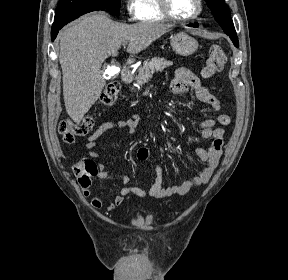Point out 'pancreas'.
I'll list each match as a JSON object with an SVG mask.
<instances>
[{"label":"pancreas","mask_w":288,"mask_h":280,"mask_svg":"<svg viewBox=\"0 0 288 280\" xmlns=\"http://www.w3.org/2000/svg\"><path fill=\"white\" fill-rule=\"evenodd\" d=\"M172 65L171 61H167L163 58H152L151 60L147 59L143 66L139 67L138 75L135 77V81L138 87H142L145 83L150 81L153 74L158 71H163L166 67Z\"/></svg>","instance_id":"obj_1"}]
</instances>
